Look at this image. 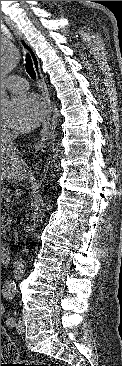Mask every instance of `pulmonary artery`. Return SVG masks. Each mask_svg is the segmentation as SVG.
Segmentation results:
<instances>
[{
    "mask_svg": "<svg viewBox=\"0 0 122 366\" xmlns=\"http://www.w3.org/2000/svg\"><path fill=\"white\" fill-rule=\"evenodd\" d=\"M2 87L10 92L22 93L28 89V82L20 76H10L2 82Z\"/></svg>",
    "mask_w": 122,
    "mask_h": 366,
    "instance_id": "1",
    "label": "pulmonary artery"
}]
</instances>
